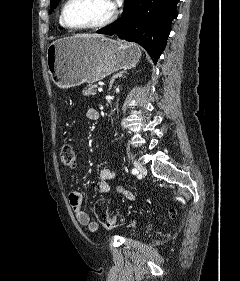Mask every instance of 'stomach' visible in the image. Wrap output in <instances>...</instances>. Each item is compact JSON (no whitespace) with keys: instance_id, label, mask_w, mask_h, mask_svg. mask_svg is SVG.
<instances>
[{"instance_id":"0dacf381","label":"stomach","mask_w":240,"mask_h":281,"mask_svg":"<svg viewBox=\"0 0 240 281\" xmlns=\"http://www.w3.org/2000/svg\"><path fill=\"white\" fill-rule=\"evenodd\" d=\"M141 49L107 37L71 36L58 39L47 48L48 73L61 88L94 83L119 70L134 67Z\"/></svg>"}]
</instances>
